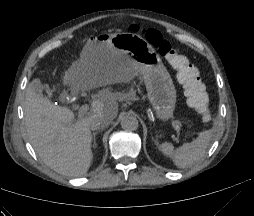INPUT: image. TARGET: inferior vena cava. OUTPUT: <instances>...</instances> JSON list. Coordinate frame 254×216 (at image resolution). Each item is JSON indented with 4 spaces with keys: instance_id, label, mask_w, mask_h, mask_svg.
Returning <instances> with one entry per match:
<instances>
[{
    "instance_id": "inferior-vena-cava-1",
    "label": "inferior vena cava",
    "mask_w": 254,
    "mask_h": 216,
    "mask_svg": "<svg viewBox=\"0 0 254 216\" xmlns=\"http://www.w3.org/2000/svg\"><path fill=\"white\" fill-rule=\"evenodd\" d=\"M111 121L104 116L94 115L89 119V127L91 130L105 129Z\"/></svg>"
}]
</instances>
